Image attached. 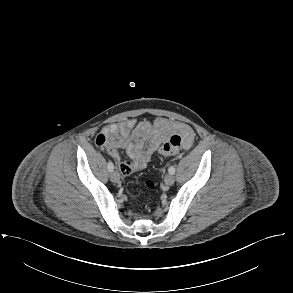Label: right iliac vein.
<instances>
[{"label": "right iliac vein", "mask_w": 293, "mask_h": 293, "mask_svg": "<svg viewBox=\"0 0 293 293\" xmlns=\"http://www.w3.org/2000/svg\"><path fill=\"white\" fill-rule=\"evenodd\" d=\"M110 179L112 182L117 183L120 180V175L117 171H111Z\"/></svg>", "instance_id": "obj_1"}]
</instances>
